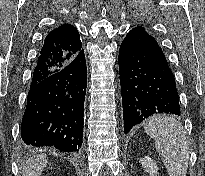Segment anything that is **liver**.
I'll list each match as a JSON object with an SVG mask.
<instances>
[{
	"instance_id": "1",
	"label": "liver",
	"mask_w": 205,
	"mask_h": 176,
	"mask_svg": "<svg viewBox=\"0 0 205 176\" xmlns=\"http://www.w3.org/2000/svg\"><path fill=\"white\" fill-rule=\"evenodd\" d=\"M47 165L45 155L30 158L23 167L22 176H39Z\"/></svg>"
}]
</instances>
